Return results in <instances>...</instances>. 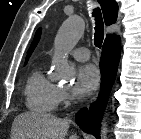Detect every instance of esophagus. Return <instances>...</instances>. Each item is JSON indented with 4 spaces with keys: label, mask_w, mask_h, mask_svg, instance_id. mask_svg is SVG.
I'll list each match as a JSON object with an SVG mask.
<instances>
[{
    "label": "esophagus",
    "mask_w": 141,
    "mask_h": 139,
    "mask_svg": "<svg viewBox=\"0 0 141 139\" xmlns=\"http://www.w3.org/2000/svg\"><path fill=\"white\" fill-rule=\"evenodd\" d=\"M98 94H99V91L97 92V94H96V96H95V98H94V99H96V98H97Z\"/></svg>",
    "instance_id": "34e87169"
}]
</instances>
